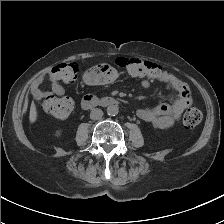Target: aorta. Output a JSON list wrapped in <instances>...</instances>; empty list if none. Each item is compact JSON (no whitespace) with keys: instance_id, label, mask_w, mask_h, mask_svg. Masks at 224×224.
Masks as SVG:
<instances>
[{"instance_id":"1","label":"aorta","mask_w":224,"mask_h":224,"mask_svg":"<svg viewBox=\"0 0 224 224\" xmlns=\"http://www.w3.org/2000/svg\"><path fill=\"white\" fill-rule=\"evenodd\" d=\"M119 108L117 105H109L107 107V114L110 116H115L118 114Z\"/></svg>"}]
</instances>
